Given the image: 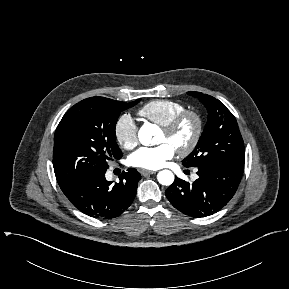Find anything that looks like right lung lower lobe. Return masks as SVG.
<instances>
[{
  "label": "right lung lower lobe",
  "instance_id": "right-lung-lower-lobe-1",
  "mask_svg": "<svg viewBox=\"0 0 289 289\" xmlns=\"http://www.w3.org/2000/svg\"><path fill=\"white\" fill-rule=\"evenodd\" d=\"M105 172L88 176L62 190L70 202L82 213L100 219H111L122 214L137 193L140 173L134 168L122 172L120 181L111 185Z\"/></svg>",
  "mask_w": 289,
  "mask_h": 289
}]
</instances>
